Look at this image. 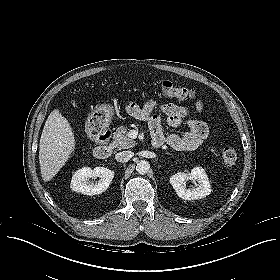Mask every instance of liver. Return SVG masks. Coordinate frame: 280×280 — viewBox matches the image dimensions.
Here are the masks:
<instances>
[{
  "label": "liver",
  "mask_w": 280,
  "mask_h": 280,
  "mask_svg": "<svg viewBox=\"0 0 280 280\" xmlns=\"http://www.w3.org/2000/svg\"><path fill=\"white\" fill-rule=\"evenodd\" d=\"M75 148L68 120L58 109L48 116L39 144V164L43 180L50 181L65 165Z\"/></svg>",
  "instance_id": "liver-1"
}]
</instances>
